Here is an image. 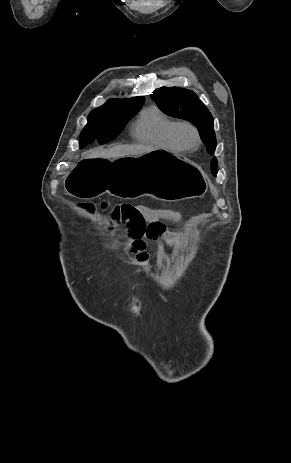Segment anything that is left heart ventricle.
I'll return each mask as SVG.
<instances>
[{
	"label": "left heart ventricle",
	"mask_w": 291,
	"mask_h": 463,
	"mask_svg": "<svg viewBox=\"0 0 291 463\" xmlns=\"http://www.w3.org/2000/svg\"><path fill=\"white\" fill-rule=\"evenodd\" d=\"M180 139L185 145H192L194 142L193 135L191 132L187 129H182L180 131Z\"/></svg>",
	"instance_id": "1"
}]
</instances>
